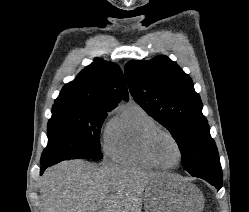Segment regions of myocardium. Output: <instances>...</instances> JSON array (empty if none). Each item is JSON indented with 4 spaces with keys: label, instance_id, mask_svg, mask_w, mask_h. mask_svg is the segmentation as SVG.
I'll list each match as a JSON object with an SVG mask.
<instances>
[{
    "label": "myocardium",
    "instance_id": "myocardium-1",
    "mask_svg": "<svg viewBox=\"0 0 249 212\" xmlns=\"http://www.w3.org/2000/svg\"><path fill=\"white\" fill-rule=\"evenodd\" d=\"M161 136H166L170 138L173 143L175 144L177 151H178V161L175 164H164L162 163L156 156L155 151H154V144L156 140L161 137ZM144 149L147 157L149 160L157 167L162 168V169H174L178 167L182 160H183V149L178 141V139L175 137L174 134H172L170 131L163 129V128H155L152 129L146 136L145 142H144Z\"/></svg>",
    "mask_w": 249,
    "mask_h": 212
}]
</instances>
